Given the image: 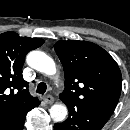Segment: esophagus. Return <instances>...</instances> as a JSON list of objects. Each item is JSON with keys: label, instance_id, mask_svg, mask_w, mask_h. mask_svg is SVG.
<instances>
[{"label": "esophagus", "instance_id": "esophagus-1", "mask_svg": "<svg viewBox=\"0 0 130 130\" xmlns=\"http://www.w3.org/2000/svg\"><path fill=\"white\" fill-rule=\"evenodd\" d=\"M44 101L47 104H52L54 102V98L51 95H47V96L44 97Z\"/></svg>", "mask_w": 130, "mask_h": 130}]
</instances>
